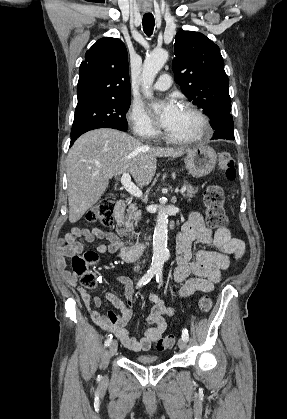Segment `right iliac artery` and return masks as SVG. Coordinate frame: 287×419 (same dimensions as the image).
Masks as SVG:
<instances>
[{"mask_svg": "<svg viewBox=\"0 0 287 419\" xmlns=\"http://www.w3.org/2000/svg\"><path fill=\"white\" fill-rule=\"evenodd\" d=\"M156 272L157 271L156 270H153V269L148 270L147 273L138 281L137 288H139V287L147 284L154 277V275L156 274ZM112 337L113 336L111 334L108 336V338L105 341V346H109L110 345V343L112 341Z\"/></svg>", "mask_w": 287, "mask_h": 419, "instance_id": "right-iliac-artery-1", "label": "right iliac artery"}]
</instances>
